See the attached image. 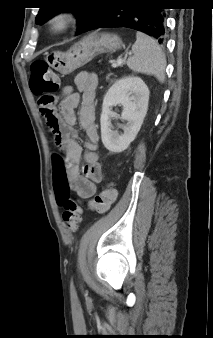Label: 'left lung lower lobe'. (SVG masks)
<instances>
[{
  "mask_svg": "<svg viewBox=\"0 0 213 338\" xmlns=\"http://www.w3.org/2000/svg\"><path fill=\"white\" fill-rule=\"evenodd\" d=\"M155 0H104L83 32L101 27H127L165 41V13Z\"/></svg>",
  "mask_w": 213,
  "mask_h": 338,
  "instance_id": "obj_1",
  "label": "left lung lower lobe"
}]
</instances>
